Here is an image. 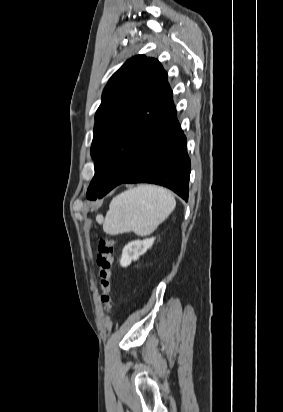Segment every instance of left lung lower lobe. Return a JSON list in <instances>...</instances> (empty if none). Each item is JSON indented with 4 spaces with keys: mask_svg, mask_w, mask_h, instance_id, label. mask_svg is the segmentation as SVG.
Instances as JSON below:
<instances>
[{
    "mask_svg": "<svg viewBox=\"0 0 283 412\" xmlns=\"http://www.w3.org/2000/svg\"><path fill=\"white\" fill-rule=\"evenodd\" d=\"M186 137L176 118L175 106L157 125L152 139L137 164L123 154L100 152L94 164L93 181L100 184L102 198L122 183H153L165 186L188 200L190 159Z\"/></svg>",
    "mask_w": 283,
    "mask_h": 412,
    "instance_id": "0a47b994",
    "label": "left lung lower lobe"
}]
</instances>
